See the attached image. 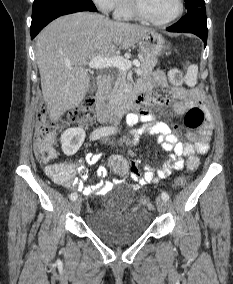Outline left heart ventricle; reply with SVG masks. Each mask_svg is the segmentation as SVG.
Listing matches in <instances>:
<instances>
[{
    "label": "left heart ventricle",
    "mask_w": 233,
    "mask_h": 284,
    "mask_svg": "<svg viewBox=\"0 0 233 284\" xmlns=\"http://www.w3.org/2000/svg\"><path fill=\"white\" fill-rule=\"evenodd\" d=\"M144 11L155 20H166L177 10V0H141Z\"/></svg>",
    "instance_id": "1"
}]
</instances>
